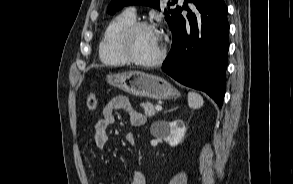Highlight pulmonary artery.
<instances>
[{"instance_id":"pulmonary-artery-1","label":"pulmonary artery","mask_w":293,"mask_h":184,"mask_svg":"<svg viewBox=\"0 0 293 184\" xmlns=\"http://www.w3.org/2000/svg\"><path fill=\"white\" fill-rule=\"evenodd\" d=\"M127 13H129L130 15H132V16L135 17V10H134V8H129V9L127 10Z\"/></svg>"}]
</instances>
